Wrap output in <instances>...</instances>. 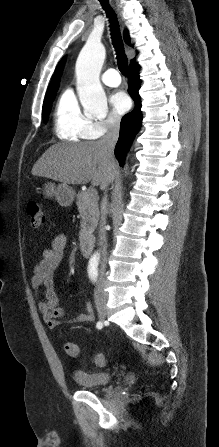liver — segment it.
<instances>
[{
  "mask_svg": "<svg viewBox=\"0 0 219 447\" xmlns=\"http://www.w3.org/2000/svg\"><path fill=\"white\" fill-rule=\"evenodd\" d=\"M117 163L105 154L100 141L58 143L38 159L32 174L64 184L109 185L115 178Z\"/></svg>",
  "mask_w": 219,
  "mask_h": 447,
  "instance_id": "obj_1",
  "label": "liver"
}]
</instances>
